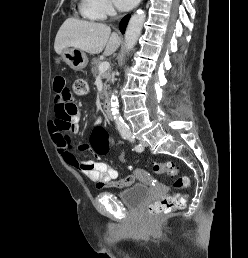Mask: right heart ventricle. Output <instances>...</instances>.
I'll return each instance as SVG.
<instances>
[{
	"label": "right heart ventricle",
	"mask_w": 248,
	"mask_h": 258,
	"mask_svg": "<svg viewBox=\"0 0 248 258\" xmlns=\"http://www.w3.org/2000/svg\"><path fill=\"white\" fill-rule=\"evenodd\" d=\"M84 16L87 17V18H89V19H93V18H91V17H89V16H87V15H85V14H84Z\"/></svg>",
	"instance_id": "e07e8e85"
}]
</instances>
